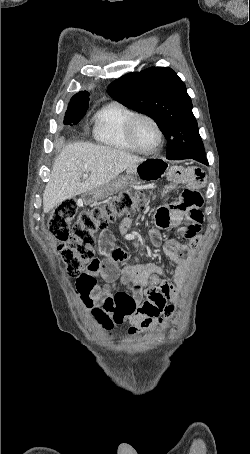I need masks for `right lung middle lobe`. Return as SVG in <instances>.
I'll return each instance as SVG.
<instances>
[{"label": "right lung middle lobe", "instance_id": "1", "mask_svg": "<svg viewBox=\"0 0 250 454\" xmlns=\"http://www.w3.org/2000/svg\"><path fill=\"white\" fill-rule=\"evenodd\" d=\"M88 106V102L69 105L68 110L65 114L64 123L71 126L72 124H77L84 117Z\"/></svg>", "mask_w": 250, "mask_h": 454}]
</instances>
